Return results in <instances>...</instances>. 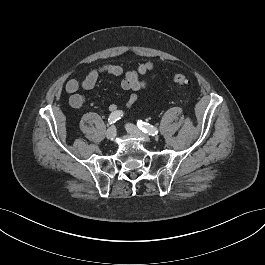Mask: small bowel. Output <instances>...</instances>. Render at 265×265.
Listing matches in <instances>:
<instances>
[{"label": "small bowel", "mask_w": 265, "mask_h": 265, "mask_svg": "<svg viewBox=\"0 0 265 265\" xmlns=\"http://www.w3.org/2000/svg\"><path fill=\"white\" fill-rule=\"evenodd\" d=\"M154 65L148 61L142 63L136 70L125 72L123 67L116 64H103L91 68L82 80L70 79L65 85V90L70 94L69 103L73 108H81L85 103V97L79 93L80 90L93 89L98 79L103 75L124 76L121 81V88L133 93L128 97L125 105L131 107L137 100L136 92L146 86V80L143 78L152 73ZM109 110L115 112L117 105L111 104Z\"/></svg>", "instance_id": "small-bowel-1"}]
</instances>
